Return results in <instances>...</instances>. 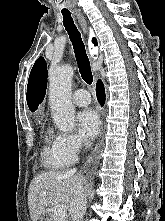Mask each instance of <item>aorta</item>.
Wrapping results in <instances>:
<instances>
[{
	"mask_svg": "<svg viewBox=\"0 0 165 221\" xmlns=\"http://www.w3.org/2000/svg\"><path fill=\"white\" fill-rule=\"evenodd\" d=\"M73 75V68L65 65L53 71L49 79L51 115L58 129L63 132H72L75 128V110L71 102Z\"/></svg>",
	"mask_w": 165,
	"mask_h": 221,
	"instance_id": "aorta-1",
	"label": "aorta"
}]
</instances>
